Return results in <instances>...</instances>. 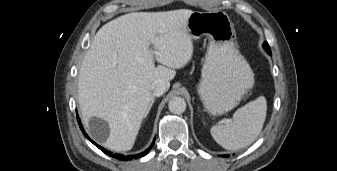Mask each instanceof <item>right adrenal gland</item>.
Wrapping results in <instances>:
<instances>
[{
	"instance_id": "right-adrenal-gland-1",
	"label": "right adrenal gland",
	"mask_w": 337,
	"mask_h": 171,
	"mask_svg": "<svg viewBox=\"0 0 337 171\" xmlns=\"http://www.w3.org/2000/svg\"><path fill=\"white\" fill-rule=\"evenodd\" d=\"M153 103H154V99H153L152 102L150 103L149 108H148V110H147V112H146V114H145V117H146L147 114L149 113V111H150V109H151Z\"/></svg>"
}]
</instances>
